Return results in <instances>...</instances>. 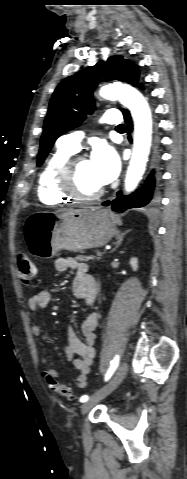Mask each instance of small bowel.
I'll use <instances>...</instances> for the list:
<instances>
[{"mask_svg":"<svg viewBox=\"0 0 187 479\" xmlns=\"http://www.w3.org/2000/svg\"><path fill=\"white\" fill-rule=\"evenodd\" d=\"M54 266L57 271H65L74 269L76 277L73 282V293L75 297L82 300L86 305H91L96 296L97 284L95 278L89 273V267L86 263L79 262L72 257H59L55 259ZM51 300L49 291H39L29 300V308L31 311H39L46 308ZM99 312H91L85 318L81 325V331L85 340H81L74 329L70 326L67 332V342L63 347L66 359L71 362L78 374L75 384L78 388H85L88 385L91 366L96 356L95 349V329L100 320ZM31 333L34 337L41 335V326L35 321L31 326ZM36 351L40 356L42 364L45 366L43 375L58 378V371L49 363L43 354L40 345H36ZM78 355V358H74Z\"/></svg>","mask_w":187,"mask_h":479,"instance_id":"c3829d8e","label":"small bowel"}]
</instances>
